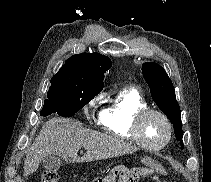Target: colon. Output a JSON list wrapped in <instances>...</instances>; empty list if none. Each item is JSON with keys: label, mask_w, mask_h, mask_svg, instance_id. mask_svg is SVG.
I'll use <instances>...</instances> for the list:
<instances>
[{"label": "colon", "mask_w": 211, "mask_h": 182, "mask_svg": "<svg viewBox=\"0 0 211 182\" xmlns=\"http://www.w3.org/2000/svg\"><path fill=\"white\" fill-rule=\"evenodd\" d=\"M155 174L156 176H164L165 170L158 164L149 166H140L134 168L117 167L112 169L105 176L97 177L91 182H137L140 178ZM41 182H60V176L57 172L50 170H42L40 173ZM158 182H166L158 179Z\"/></svg>", "instance_id": "1"}]
</instances>
